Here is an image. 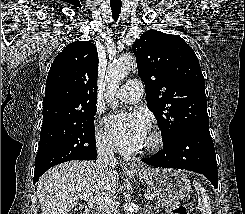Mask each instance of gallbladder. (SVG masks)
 Listing matches in <instances>:
<instances>
[{"label":"gallbladder","mask_w":245,"mask_h":214,"mask_svg":"<svg viewBox=\"0 0 245 214\" xmlns=\"http://www.w3.org/2000/svg\"><path fill=\"white\" fill-rule=\"evenodd\" d=\"M79 209H80V207L76 206V207L74 208V211H78Z\"/></svg>","instance_id":"gallbladder-1"}]
</instances>
